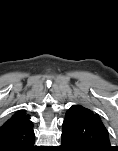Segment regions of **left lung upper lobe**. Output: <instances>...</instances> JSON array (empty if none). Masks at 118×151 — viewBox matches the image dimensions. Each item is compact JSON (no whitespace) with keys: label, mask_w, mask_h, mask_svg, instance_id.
<instances>
[{"label":"left lung upper lobe","mask_w":118,"mask_h":151,"mask_svg":"<svg viewBox=\"0 0 118 151\" xmlns=\"http://www.w3.org/2000/svg\"><path fill=\"white\" fill-rule=\"evenodd\" d=\"M62 132L80 140L88 151H111L108 131L98 114L81 105H73L66 113Z\"/></svg>","instance_id":"left-lung-upper-lobe-1"}]
</instances>
